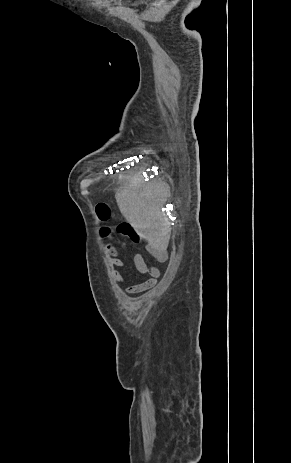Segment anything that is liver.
<instances>
[{
  "instance_id": "6515ba94",
  "label": "liver",
  "mask_w": 291,
  "mask_h": 463,
  "mask_svg": "<svg viewBox=\"0 0 291 463\" xmlns=\"http://www.w3.org/2000/svg\"><path fill=\"white\" fill-rule=\"evenodd\" d=\"M126 179V184L115 195L120 212L138 235L147 240V249L153 256L166 252L171 228L161 212L164 186L146 183L140 175Z\"/></svg>"
}]
</instances>
